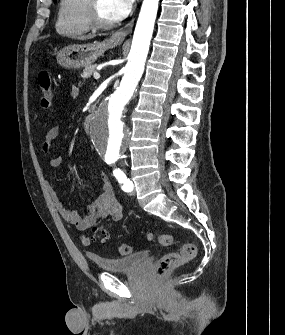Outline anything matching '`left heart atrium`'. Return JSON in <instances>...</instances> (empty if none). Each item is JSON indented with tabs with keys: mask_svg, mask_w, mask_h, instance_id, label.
Wrapping results in <instances>:
<instances>
[{
	"mask_svg": "<svg viewBox=\"0 0 285 335\" xmlns=\"http://www.w3.org/2000/svg\"><path fill=\"white\" fill-rule=\"evenodd\" d=\"M134 1H107L113 23L119 22L130 10Z\"/></svg>",
	"mask_w": 285,
	"mask_h": 335,
	"instance_id": "1",
	"label": "left heart atrium"
}]
</instances>
